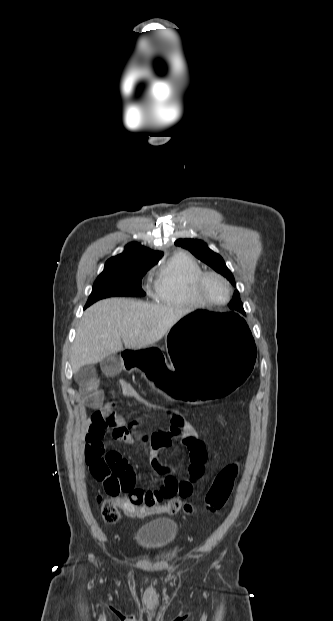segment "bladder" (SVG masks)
Instances as JSON below:
<instances>
[{
    "label": "bladder",
    "mask_w": 333,
    "mask_h": 621,
    "mask_svg": "<svg viewBox=\"0 0 333 621\" xmlns=\"http://www.w3.org/2000/svg\"><path fill=\"white\" fill-rule=\"evenodd\" d=\"M178 533L179 526L175 520L158 518L140 527L135 540L143 550H164L175 543Z\"/></svg>",
    "instance_id": "31cf9c89"
}]
</instances>
